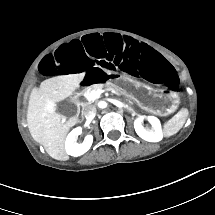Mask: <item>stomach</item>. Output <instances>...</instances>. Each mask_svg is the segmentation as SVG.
<instances>
[{
	"mask_svg": "<svg viewBox=\"0 0 215 215\" xmlns=\"http://www.w3.org/2000/svg\"><path fill=\"white\" fill-rule=\"evenodd\" d=\"M122 90L140 105H145L162 112L173 110L178 105L176 95L163 92H151L132 82L125 83L124 89Z\"/></svg>",
	"mask_w": 215,
	"mask_h": 215,
	"instance_id": "obj_1",
	"label": "stomach"
}]
</instances>
